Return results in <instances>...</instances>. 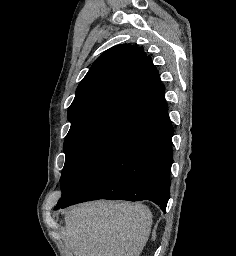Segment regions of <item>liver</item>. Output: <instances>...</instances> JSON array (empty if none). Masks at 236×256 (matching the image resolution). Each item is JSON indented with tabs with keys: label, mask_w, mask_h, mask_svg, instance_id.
I'll return each instance as SVG.
<instances>
[{
	"label": "liver",
	"mask_w": 236,
	"mask_h": 256,
	"mask_svg": "<svg viewBox=\"0 0 236 256\" xmlns=\"http://www.w3.org/2000/svg\"><path fill=\"white\" fill-rule=\"evenodd\" d=\"M61 234L74 256H140L152 226L144 204L86 202L64 216Z\"/></svg>",
	"instance_id": "liver-1"
}]
</instances>
